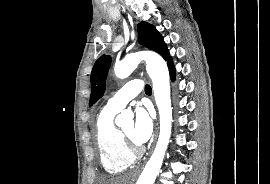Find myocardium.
Returning <instances> with one entry per match:
<instances>
[{
	"mask_svg": "<svg viewBox=\"0 0 270 184\" xmlns=\"http://www.w3.org/2000/svg\"><path fill=\"white\" fill-rule=\"evenodd\" d=\"M127 153L136 158L143 153V148L129 137L123 130H119Z\"/></svg>",
	"mask_w": 270,
	"mask_h": 184,
	"instance_id": "myocardium-1",
	"label": "myocardium"
}]
</instances>
